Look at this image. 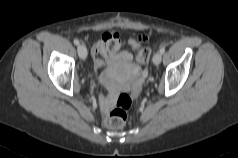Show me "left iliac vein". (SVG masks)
Masks as SVG:
<instances>
[{
  "instance_id": "1",
  "label": "left iliac vein",
  "mask_w": 238,
  "mask_h": 158,
  "mask_svg": "<svg viewBox=\"0 0 238 158\" xmlns=\"http://www.w3.org/2000/svg\"><path fill=\"white\" fill-rule=\"evenodd\" d=\"M161 59H162L161 53H160V52H157V53H155L154 56H153V63H154L155 65H159L160 62H161Z\"/></svg>"
}]
</instances>
